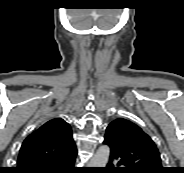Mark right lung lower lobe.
<instances>
[{"label":"right lung lower lobe","mask_w":184,"mask_h":173,"mask_svg":"<svg viewBox=\"0 0 184 173\" xmlns=\"http://www.w3.org/2000/svg\"><path fill=\"white\" fill-rule=\"evenodd\" d=\"M76 155L77 152L49 165L17 173H80L81 170L74 167Z\"/></svg>","instance_id":"1"}]
</instances>
